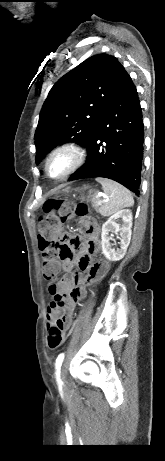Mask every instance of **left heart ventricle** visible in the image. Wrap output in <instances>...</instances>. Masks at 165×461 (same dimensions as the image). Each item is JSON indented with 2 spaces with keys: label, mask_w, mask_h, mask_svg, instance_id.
Segmentation results:
<instances>
[{
  "label": "left heart ventricle",
  "mask_w": 165,
  "mask_h": 461,
  "mask_svg": "<svg viewBox=\"0 0 165 461\" xmlns=\"http://www.w3.org/2000/svg\"><path fill=\"white\" fill-rule=\"evenodd\" d=\"M67 160L65 157H58L54 159L49 166V171L52 176H56L60 174L65 166H66Z\"/></svg>",
  "instance_id": "left-heart-ventricle-1"
}]
</instances>
